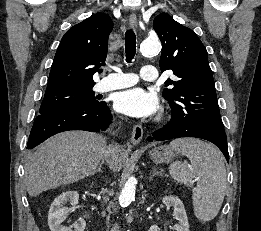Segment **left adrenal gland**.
Returning <instances> with one entry per match:
<instances>
[{
    "mask_svg": "<svg viewBox=\"0 0 261 231\" xmlns=\"http://www.w3.org/2000/svg\"><path fill=\"white\" fill-rule=\"evenodd\" d=\"M162 176L161 172H158L156 168H152V175L150 176L149 180L151 181L153 179L154 176Z\"/></svg>",
    "mask_w": 261,
    "mask_h": 231,
    "instance_id": "left-adrenal-gland-1",
    "label": "left adrenal gland"
}]
</instances>
